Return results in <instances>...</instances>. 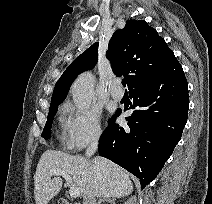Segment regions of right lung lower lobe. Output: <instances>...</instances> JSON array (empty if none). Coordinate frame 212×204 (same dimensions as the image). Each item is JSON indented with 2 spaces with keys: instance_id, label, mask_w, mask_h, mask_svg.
Instances as JSON below:
<instances>
[{
  "instance_id": "1",
  "label": "right lung lower lobe",
  "mask_w": 212,
  "mask_h": 204,
  "mask_svg": "<svg viewBox=\"0 0 212 204\" xmlns=\"http://www.w3.org/2000/svg\"><path fill=\"white\" fill-rule=\"evenodd\" d=\"M136 109L124 127L109 120L99 154L140 179L144 188L156 178L179 142L187 121L188 85L182 68L129 91Z\"/></svg>"
}]
</instances>
